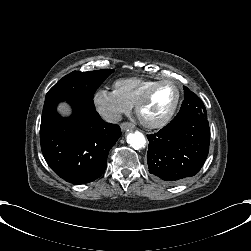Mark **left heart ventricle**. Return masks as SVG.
<instances>
[{"instance_id":"b2bd125f","label":"left heart ventricle","mask_w":251,"mask_h":251,"mask_svg":"<svg viewBox=\"0 0 251 251\" xmlns=\"http://www.w3.org/2000/svg\"><path fill=\"white\" fill-rule=\"evenodd\" d=\"M179 89L174 82L161 83L145 105L142 116L150 122L162 120L176 105Z\"/></svg>"}]
</instances>
